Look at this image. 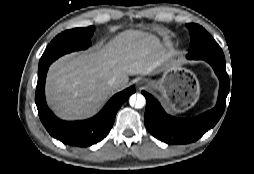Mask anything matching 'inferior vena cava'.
<instances>
[{"label":"inferior vena cava","instance_id":"602c4592","mask_svg":"<svg viewBox=\"0 0 254 174\" xmlns=\"http://www.w3.org/2000/svg\"><path fill=\"white\" fill-rule=\"evenodd\" d=\"M108 84L111 87H117L119 85V80L116 77H112L111 79H109Z\"/></svg>","mask_w":254,"mask_h":174}]
</instances>
